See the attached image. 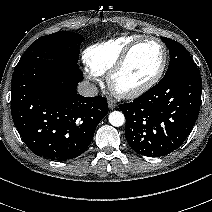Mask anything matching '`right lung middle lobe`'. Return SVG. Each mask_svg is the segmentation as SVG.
<instances>
[{
  "label": "right lung middle lobe",
  "instance_id": "1",
  "mask_svg": "<svg viewBox=\"0 0 212 212\" xmlns=\"http://www.w3.org/2000/svg\"><path fill=\"white\" fill-rule=\"evenodd\" d=\"M83 40L82 35L69 31L42 36L28 47L14 69L42 59L65 60L77 64Z\"/></svg>",
  "mask_w": 212,
  "mask_h": 212
}]
</instances>
